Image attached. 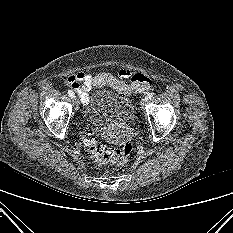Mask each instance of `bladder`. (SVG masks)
<instances>
[{
    "mask_svg": "<svg viewBox=\"0 0 233 233\" xmlns=\"http://www.w3.org/2000/svg\"><path fill=\"white\" fill-rule=\"evenodd\" d=\"M85 119L96 126L130 122L135 117V106L125 95L108 89L95 91L84 109Z\"/></svg>",
    "mask_w": 233,
    "mask_h": 233,
    "instance_id": "31cf9c89",
    "label": "bladder"
}]
</instances>
